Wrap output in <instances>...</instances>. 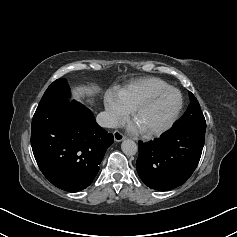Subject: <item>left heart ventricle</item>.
Returning <instances> with one entry per match:
<instances>
[{"label":"left heart ventricle","instance_id":"left-heart-ventricle-1","mask_svg":"<svg viewBox=\"0 0 237 237\" xmlns=\"http://www.w3.org/2000/svg\"><path fill=\"white\" fill-rule=\"evenodd\" d=\"M178 104V94L173 91L167 92L140 111L134 120V125L139 129L161 127L170 119Z\"/></svg>","mask_w":237,"mask_h":237}]
</instances>
